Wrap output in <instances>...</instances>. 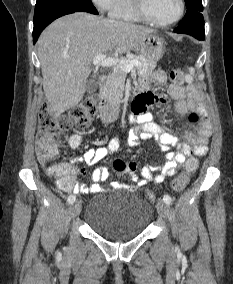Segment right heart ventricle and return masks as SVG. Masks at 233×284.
Segmentation results:
<instances>
[{
  "instance_id": "1",
  "label": "right heart ventricle",
  "mask_w": 233,
  "mask_h": 284,
  "mask_svg": "<svg viewBox=\"0 0 233 284\" xmlns=\"http://www.w3.org/2000/svg\"><path fill=\"white\" fill-rule=\"evenodd\" d=\"M109 15L115 20L127 22L144 21L135 9L134 0H115L109 10Z\"/></svg>"
}]
</instances>
